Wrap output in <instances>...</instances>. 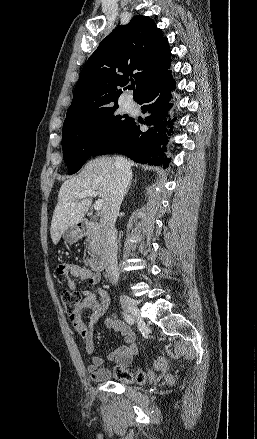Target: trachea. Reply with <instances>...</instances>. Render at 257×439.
I'll use <instances>...</instances> for the list:
<instances>
[{"label": "trachea", "instance_id": "3493384b", "mask_svg": "<svg viewBox=\"0 0 257 439\" xmlns=\"http://www.w3.org/2000/svg\"><path fill=\"white\" fill-rule=\"evenodd\" d=\"M135 88V85H134V83H132V85L130 86V89H134Z\"/></svg>", "mask_w": 257, "mask_h": 439}]
</instances>
